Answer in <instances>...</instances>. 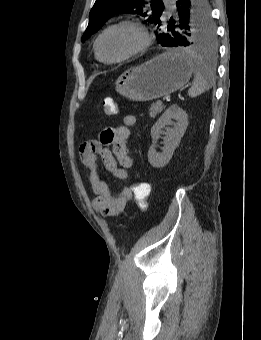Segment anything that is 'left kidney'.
<instances>
[{"instance_id":"1","label":"left kidney","mask_w":261,"mask_h":340,"mask_svg":"<svg viewBox=\"0 0 261 340\" xmlns=\"http://www.w3.org/2000/svg\"><path fill=\"white\" fill-rule=\"evenodd\" d=\"M172 120H176L174 128L166 127L171 125ZM188 126V115L178 105L170 106L158 121L151 128L152 145L148 151V161L154 168H163L172 158L175 149L179 146ZM166 127V128H165ZM165 128L166 132L162 129ZM160 134H165L163 138L164 147L162 153L156 152V143Z\"/></svg>"}]
</instances>
